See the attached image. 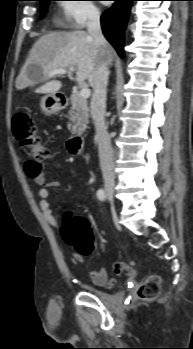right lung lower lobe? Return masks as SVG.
I'll return each instance as SVG.
<instances>
[{
	"label": "right lung lower lobe",
	"instance_id": "1",
	"mask_svg": "<svg viewBox=\"0 0 193 349\" xmlns=\"http://www.w3.org/2000/svg\"><path fill=\"white\" fill-rule=\"evenodd\" d=\"M114 1V5L101 16V24L105 37L123 57V35L134 0Z\"/></svg>",
	"mask_w": 193,
	"mask_h": 349
}]
</instances>
